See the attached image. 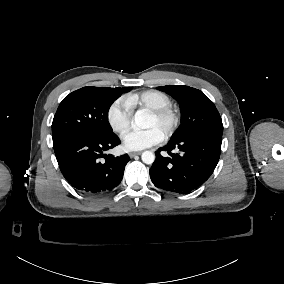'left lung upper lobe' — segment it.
Returning <instances> with one entry per match:
<instances>
[{
	"instance_id": "1",
	"label": "left lung upper lobe",
	"mask_w": 284,
	"mask_h": 284,
	"mask_svg": "<svg viewBox=\"0 0 284 284\" xmlns=\"http://www.w3.org/2000/svg\"><path fill=\"white\" fill-rule=\"evenodd\" d=\"M159 90L173 96L181 108V125L171 139L195 133L223 134V124L213 102L200 90L182 85L161 86Z\"/></svg>"
}]
</instances>
